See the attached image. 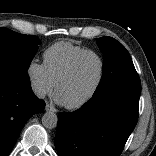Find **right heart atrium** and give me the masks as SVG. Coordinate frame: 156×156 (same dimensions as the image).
Listing matches in <instances>:
<instances>
[{"instance_id":"obj_1","label":"right heart atrium","mask_w":156,"mask_h":156,"mask_svg":"<svg viewBox=\"0 0 156 156\" xmlns=\"http://www.w3.org/2000/svg\"><path fill=\"white\" fill-rule=\"evenodd\" d=\"M26 73L30 87L37 97H45L53 91L55 83L49 76L44 63L35 60L30 61Z\"/></svg>"}]
</instances>
